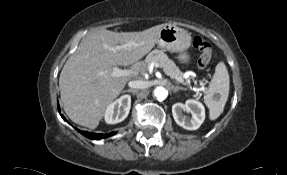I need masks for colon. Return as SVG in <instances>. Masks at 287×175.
Wrapping results in <instances>:
<instances>
[{
	"label": "colon",
	"mask_w": 287,
	"mask_h": 175,
	"mask_svg": "<svg viewBox=\"0 0 287 175\" xmlns=\"http://www.w3.org/2000/svg\"><path fill=\"white\" fill-rule=\"evenodd\" d=\"M193 47L199 51L198 66L201 69L206 68L212 57V49L210 44L202 37L195 36L193 38Z\"/></svg>",
	"instance_id": "5ec220e1"
}]
</instances>
